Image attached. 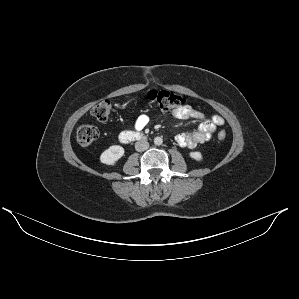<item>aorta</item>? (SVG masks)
<instances>
[{"label":"aorta","instance_id":"aorta-1","mask_svg":"<svg viewBox=\"0 0 299 299\" xmlns=\"http://www.w3.org/2000/svg\"><path fill=\"white\" fill-rule=\"evenodd\" d=\"M162 143H163V139L161 138V137H155L154 138V144L155 145H162Z\"/></svg>","mask_w":299,"mask_h":299}]
</instances>
